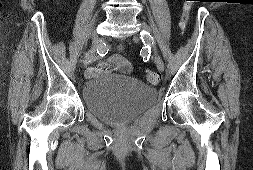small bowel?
<instances>
[{
    "mask_svg": "<svg viewBox=\"0 0 253 170\" xmlns=\"http://www.w3.org/2000/svg\"><path fill=\"white\" fill-rule=\"evenodd\" d=\"M118 57H120V56H114V57H112L111 59H115V58H118ZM95 72H97V69L92 68V69H90V70L88 71V75H93Z\"/></svg>",
    "mask_w": 253,
    "mask_h": 170,
    "instance_id": "obj_1",
    "label": "small bowel"
}]
</instances>
